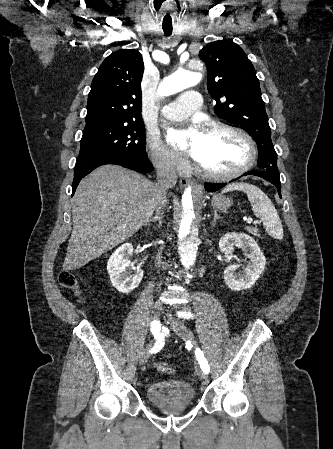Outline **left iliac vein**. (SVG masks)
<instances>
[{"instance_id": "1", "label": "left iliac vein", "mask_w": 333, "mask_h": 449, "mask_svg": "<svg viewBox=\"0 0 333 449\" xmlns=\"http://www.w3.org/2000/svg\"><path fill=\"white\" fill-rule=\"evenodd\" d=\"M171 328L174 332L183 340H190L194 345H196V339L193 332L183 323L173 321L170 317L167 318ZM196 374L201 380H206V374L202 371L201 367L196 368Z\"/></svg>"}]
</instances>
